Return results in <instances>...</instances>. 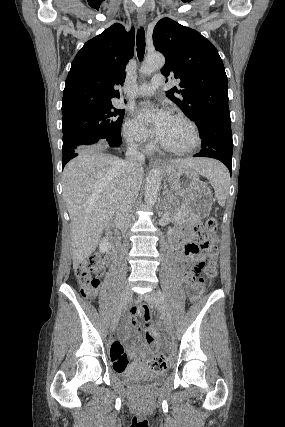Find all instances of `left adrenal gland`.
<instances>
[{"label":"left adrenal gland","instance_id":"left-adrenal-gland-1","mask_svg":"<svg viewBox=\"0 0 285 427\" xmlns=\"http://www.w3.org/2000/svg\"><path fill=\"white\" fill-rule=\"evenodd\" d=\"M163 195H165V197H164V201H163V210L167 211V208H168V201L170 200L171 195H170V193L168 192V190H167V189H165V190L163 191Z\"/></svg>","mask_w":285,"mask_h":427}]
</instances>
